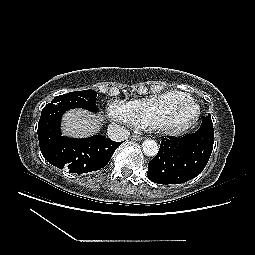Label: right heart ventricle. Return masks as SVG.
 Masks as SVG:
<instances>
[{"label": "right heart ventricle", "mask_w": 255, "mask_h": 255, "mask_svg": "<svg viewBox=\"0 0 255 255\" xmlns=\"http://www.w3.org/2000/svg\"><path fill=\"white\" fill-rule=\"evenodd\" d=\"M185 92L169 90L147 98L124 103V122L135 127H146L153 117L173 100L189 98Z\"/></svg>", "instance_id": "1"}]
</instances>
